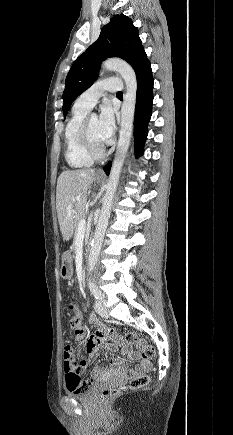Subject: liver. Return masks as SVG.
Here are the masks:
<instances>
[{"label":"liver","instance_id":"liver-1","mask_svg":"<svg viewBox=\"0 0 233 435\" xmlns=\"http://www.w3.org/2000/svg\"><path fill=\"white\" fill-rule=\"evenodd\" d=\"M94 177V169L67 170L58 177L56 209L60 230L65 241L71 239L76 223L84 214L88 189Z\"/></svg>","mask_w":233,"mask_h":435}]
</instances>
